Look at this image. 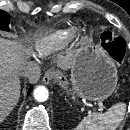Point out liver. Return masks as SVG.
<instances>
[{
    "instance_id": "obj_1",
    "label": "liver",
    "mask_w": 130,
    "mask_h": 130,
    "mask_svg": "<svg viewBox=\"0 0 130 130\" xmlns=\"http://www.w3.org/2000/svg\"><path fill=\"white\" fill-rule=\"evenodd\" d=\"M26 60L21 46L0 38V123L12 112L20 97V73ZM74 63L73 56L59 63L62 69Z\"/></svg>"
}]
</instances>
